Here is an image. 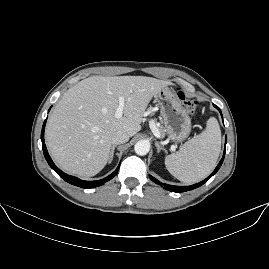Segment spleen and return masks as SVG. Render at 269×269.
I'll return each instance as SVG.
<instances>
[{"label":"spleen","instance_id":"1","mask_svg":"<svg viewBox=\"0 0 269 269\" xmlns=\"http://www.w3.org/2000/svg\"><path fill=\"white\" fill-rule=\"evenodd\" d=\"M221 150V131L216 118L207 121L206 131L187 142L177 155L165 158L167 170L184 183L202 180L215 167Z\"/></svg>","mask_w":269,"mask_h":269}]
</instances>
